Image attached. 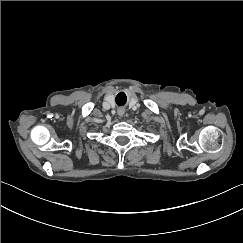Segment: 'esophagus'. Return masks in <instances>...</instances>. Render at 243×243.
Segmentation results:
<instances>
[{
  "instance_id": "1",
  "label": "esophagus",
  "mask_w": 243,
  "mask_h": 243,
  "mask_svg": "<svg viewBox=\"0 0 243 243\" xmlns=\"http://www.w3.org/2000/svg\"><path fill=\"white\" fill-rule=\"evenodd\" d=\"M117 114H118L120 117H122V116L125 114V109H124V108H119V109L117 110Z\"/></svg>"
}]
</instances>
